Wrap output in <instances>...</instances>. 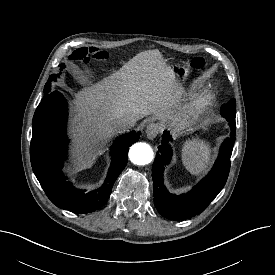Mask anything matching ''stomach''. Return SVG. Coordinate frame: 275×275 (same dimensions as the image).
Segmentation results:
<instances>
[{
    "mask_svg": "<svg viewBox=\"0 0 275 275\" xmlns=\"http://www.w3.org/2000/svg\"><path fill=\"white\" fill-rule=\"evenodd\" d=\"M174 76L178 81H184L188 75V69L184 66L175 64L172 65Z\"/></svg>",
    "mask_w": 275,
    "mask_h": 275,
    "instance_id": "stomach-1",
    "label": "stomach"
}]
</instances>
